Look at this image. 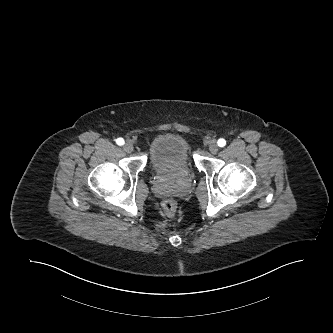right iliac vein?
Segmentation results:
<instances>
[{
    "label": "right iliac vein",
    "mask_w": 333,
    "mask_h": 333,
    "mask_svg": "<svg viewBox=\"0 0 333 333\" xmlns=\"http://www.w3.org/2000/svg\"><path fill=\"white\" fill-rule=\"evenodd\" d=\"M123 149L127 153H131L134 149V145L131 141H126V143L123 146Z\"/></svg>",
    "instance_id": "right-iliac-vein-1"
}]
</instances>
